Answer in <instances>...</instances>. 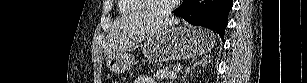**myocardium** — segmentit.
I'll use <instances>...</instances> for the list:
<instances>
[{
    "label": "myocardium",
    "mask_w": 307,
    "mask_h": 83,
    "mask_svg": "<svg viewBox=\"0 0 307 83\" xmlns=\"http://www.w3.org/2000/svg\"><path fill=\"white\" fill-rule=\"evenodd\" d=\"M140 2H142L144 4V6L147 8V10H149L150 12L154 13L155 15H167L170 14L175 7L178 5V3L180 2V0H172V2L168 3L165 7L162 8H154L151 5V1L150 0H141Z\"/></svg>",
    "instance_id": "myocardium-1"
}]
</instances>
